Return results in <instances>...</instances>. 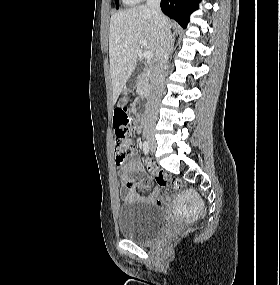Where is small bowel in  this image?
I'll return each mask as SVG.
<instances>
[{"mask_svg":"<svg viewBox=\"0 0 280 285\" xmlns=\"http://www.w3.org/2000/svg\"><path fill=\"white\" fill-rule=\"evenodd\" d=\"M120 179H121V196L124 200H132L139 197L136 192L137 188H141L144 182H148L147 173L155 175L158 170L151 162H146V170L142 166L141 161L134 155H131L128 160L119 164ZM146 200L154 202L157 205H163L165 199L162 196L161 188H157L151 193Z\"/></svg>","mask_w":280,"mask_h":285,"instance_id":"small-bowel-1","label":"small bowel"}]
</instances>
